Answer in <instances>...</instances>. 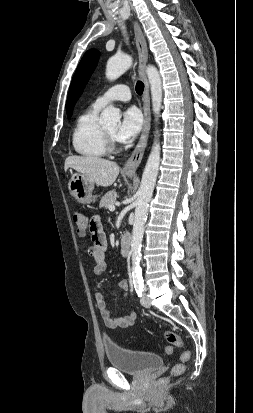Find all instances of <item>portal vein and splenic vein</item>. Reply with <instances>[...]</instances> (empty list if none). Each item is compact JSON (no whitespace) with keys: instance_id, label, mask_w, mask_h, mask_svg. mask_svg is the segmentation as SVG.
Segmentation results:
<instances>
[{"instance_id":"portal-vein-and-splenic-vein-1","label":"portal vein and splenic vein","mask_w":253,"mask_h":413,"mask_svg":"<svg viewBox=\"0 0 253 413\" xmlns=\"http://www.w3.org/2000/svg\"><path fill=\"white\" fill-rule=\"evenodd\" d=\"M109 210H110V211H114V210H115V206H114V205H110V206H109Z\"/></svg>"}]
</instances>
